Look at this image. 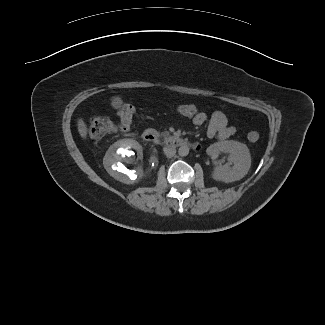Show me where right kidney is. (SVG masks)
I'll use <instances>...</instances> for the list:
<instances>
[{"label":"right kidney","mask_w":325,"mask_h":325,"mask_svg":"<svg viewBox=\"0 0 325 325\" xmlns=\"http://www.w3.org/2000/svg\"><path fill=\"white\" fill-rule=\"evenodd\" d=\"M103 165L113 178L125 184L138 183L147 174L142 146L133 139L112 144L104 156ZM129 165H133V169L129 170Z\"/></svg>","instance_id":"obj_1"}]
</instances>
